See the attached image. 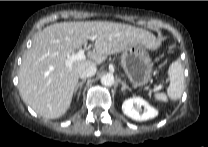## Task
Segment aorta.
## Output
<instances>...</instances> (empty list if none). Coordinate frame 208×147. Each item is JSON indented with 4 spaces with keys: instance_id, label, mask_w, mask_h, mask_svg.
I'll use <instances>...</instances> for the list:
<instances>
[{
    "instance_id": "762f6f07",
    "label": "aorta",
    "mask_w": 208,
    "mask_h": 147,
    "mask_svg": "<svg viewBox=\"0 0 208 147\" xmlns=\"http://www.w3.org/2000/svg\"><path fill=\"white\" fill-rule=\"evenodd\" d=\"M101 84L104 86H112L114 84L113 75L106 74L101 77Z\"/></svg>"
}]
</instances>
